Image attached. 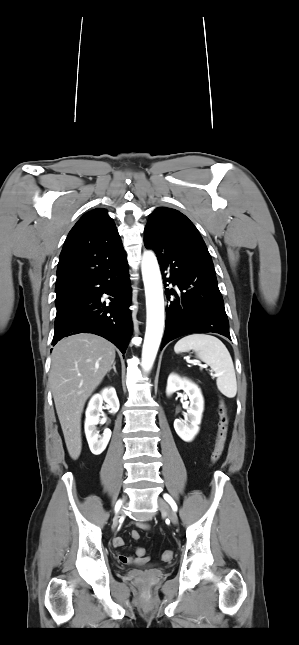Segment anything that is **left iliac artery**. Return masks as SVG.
I'll return each instance as SVG.
<instances>
[{"mask_svg":"<svg viewBox=\"0 0 299 645\" xmlns=\"http://www.w3.org/2000/svg\"><path fill=\"white\" fill-rule=\"evenodd\" d=\"M164 499L170 504V506L172 507V509L174 511L177 510V505H176L175 501L172 499V497L170 495L165 494Z\"/></svg>","mask_w":299,"mask_h":645,"instance_id":"obj_1","label":"left iliac artery"}]
</instances>
